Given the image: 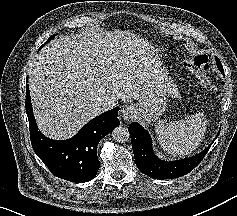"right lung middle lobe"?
Segmentation results:
<instances>
[{
	"instance_id": "1",
	"label": "right lung middle lobe",
	"mask_w": 237,
	"mask_h": 216,
	"mask_svg": "<svg viewBox=\"0 0 237 216\" xmlns=\"http://www.w3.org/2000/svg\"><path fill=\"white\" fill-rule=\"evenodd\" d=\"M54 36H55V35H52V36L45 42V44L48 43L51 39H53ZM43 46H44V45H42L41 47H43Z\"/></svg>"
}]
</instances>
